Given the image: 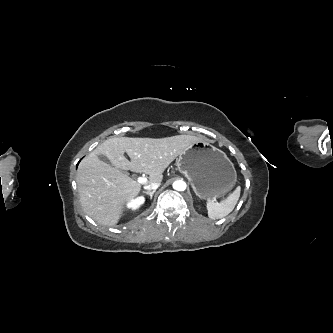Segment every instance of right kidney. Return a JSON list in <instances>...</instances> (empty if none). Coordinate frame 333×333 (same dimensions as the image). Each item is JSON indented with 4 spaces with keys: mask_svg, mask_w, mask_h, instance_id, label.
Listing matches in <instances>:
<instances>
[{
    "mask_svg": "<svg viewBox=\"0 0 333 333\" xmlns=\"http://www.w3.org/2000/svg\"><path fill=\"white\" fill-rule=\"evenodd\" d=\"M144 203V198L143 197H138L135 200H132L128 203V207L132 208L133 210L138 209L142 204Z\"/></svg>",
    "mask_w": 333,
    "mask_h": 333,
    "instance_id": "ca27d5eb",
    "label": "right kidney"
}]
</instances>
